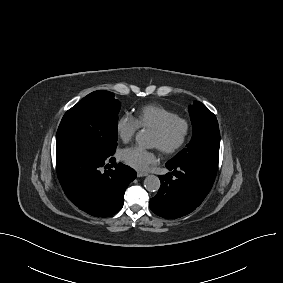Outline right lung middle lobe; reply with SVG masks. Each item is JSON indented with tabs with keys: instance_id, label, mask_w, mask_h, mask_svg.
Segmentation results:
<instances>
[{
	"instance_id": "dd1d6c3e",
	"label": "right lung middle lobe",
	"mask_w": 283,
	"mask_h": 283,
	"mask_svg": "<svg viewBox=\"0 0 283 283\" xmlns=\"http://www.w3.org/2000/svg\"><path fill=\"white\" fill-rule=\"evenodd\" d=\"M120 106L112 92L88 94L63 116L56 135V154L72 147L114 154Z\"/></svg>"
}]
</instances>
